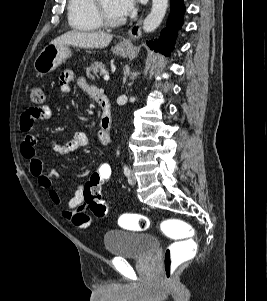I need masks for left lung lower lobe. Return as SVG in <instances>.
<instances>
[{
  "mask_svg": "<svg viewBox=\"0 0 267 301\" xmlns=\"http://www.w3.org/2000/svg\"><path fill=\"white\" fill-rule=\"evenodd\" d=\"M185 6L183 0H171V11L167 21V26L161 31L159 41H149L148 45L151 49L159 51L162 54L169 56L173 50L177 29H180L183 24V14Z\"/></svg>",
  "mask_w": 267,
  "mask_h": 301,
  "instance_id": "1",
  "label": "left lung lower lobe"
}]
</instances>
